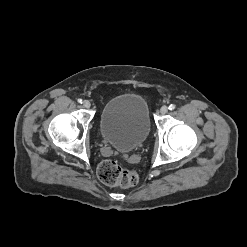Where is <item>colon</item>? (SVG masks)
Returning a JSON list of instances; mask_svg holds the SVG:
<instances>
[{
    "instance_id": "5ec220e1",
    "label": "colon",
    "mask_w": 247,
    "mask_h": 247,
    "mask_svg": "<svg viewBox=\"0 0 247 247\" xmlns=\"http://www.w3.org/2000/svg\"><path fill=\"white\" fill-rule=\"evenodd\" d=\"M99 179L112 187L128 188L138 182V175L134 170L124 168L117 161L107 159L102 161L97 169Z\"/></svg>"
}]
</instances>
